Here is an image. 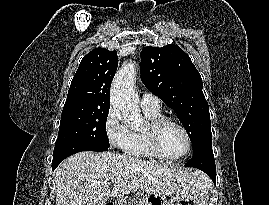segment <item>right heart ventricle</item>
Instances as JSON below:
<instances>
[{
  "instance_id": "right-heart-ventricle-1",
  "label": "right heart ventricle",
  "mask_w": 269,
  "mask_h": 205,
  "mask_svg": "<svg viewBox=\"0 0 269 205\" xmlns=\"http://www.w3.org/2000/svg\"><path fill=\"white\" fill-rule=\"evenodd\" d=\"M145 116L152 122L161 117V111H151L143 109ZM128 156L135 158H155L150 151L144 131L131 132V141L128 147L124 150Z\"/></svg>"
}]
</instances>
